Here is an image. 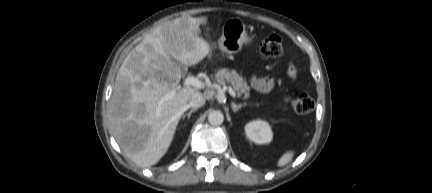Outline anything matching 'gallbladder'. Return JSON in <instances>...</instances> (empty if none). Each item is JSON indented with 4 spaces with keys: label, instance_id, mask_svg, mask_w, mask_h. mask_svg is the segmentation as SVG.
<instances>
[{
    "label": "gallbladder",
    "instance_id": "obj_1",
    "mask_svg": "<svg viewBox=\"0 0 432 193\" xmlns=\"http://www.w3.org/2000/svg\"><path fill=\"white\" fill-rule=\"evenodd\" d=\"M172 62L175 64V65H178V66H180V64H179V62L178 61H176V60H174V59H172Z\"/></svg>",
    "mask_w": 432,
    "mask_h": 193
}]
</instances>
